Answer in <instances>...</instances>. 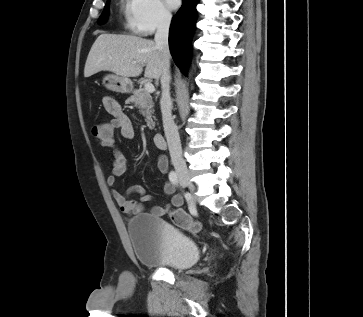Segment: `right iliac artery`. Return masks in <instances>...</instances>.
Listing matches in <instances>:
<instances>
[{
  "mask_svg": "<svg viewBox=\"0 0 363 317\" xmlns=\"http://www.w3.org/2000/svg\"><path fill=\"white\" fill-rule=\"evenodd\" d=\"M169 180L171 181V183L175 186H178V177L177 174L174 171H171L169 173Z\"/></svg>",
  "mask_w": 363,
  "mask_h": 317,
  "instance_id": "right-iliac-artery-1",
  "label": "right iliac artery"
}]
</instances>
